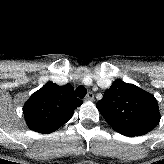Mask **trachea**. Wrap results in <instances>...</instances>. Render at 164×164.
I'll return each instance as SVG.
<instances>
[{"label":"trachea","instance_id":"obj_1","mask_svg":"<svg viewBox=\"0 0 164 164\" xmlns=\"http://www.w3.org/2000/svg\"><path fill=\"white\" fill-rule=\"evenodd\" d=\"M86 93H87V90H86V88L84 87V86H78L77 88H76V95L79 97V98H84L85 97V95H86Z\"/></svg>","mask_w":164,"mask_h":164}]
</instances>
